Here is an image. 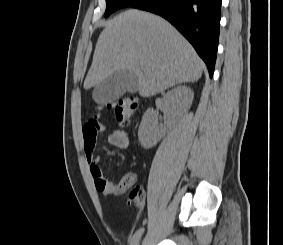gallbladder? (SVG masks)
<instances>
[{
	"label": "gallbladder",
	"instance_id": "1",
	"mask_svg": "<svg viewBox=\"0 0 283 245\" xmlns=\"http://www.w3.org/2000/svg\"><path fill=\"white\" fill-rule=\"evenodd\" d=\"M138 91V82L132 72L121 70L95 86L92 97L100 105L113 103L126 92L135 93Z\"/></svg>",
	"mask_w": 283,
	"mask_h": 245
}]
</instances>
